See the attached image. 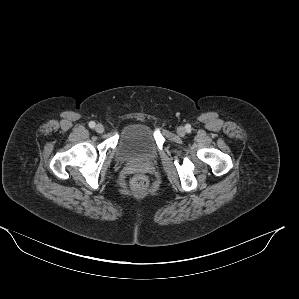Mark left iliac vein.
Here are the masks:
<instances>
[{
	"label": "left iliac vein",
	"instance_id": "1",
	"mask_svg": "<svg viewBox=\"0 0 299 299\" xmlns=\"http://www.w3.org/2000/svg\"><path fill=\"white\" fill-rule=\"evenodd\" d=\"M177 133L178 135L183 136L185 134V129L183 127H179Z\"/></svg>",
	"mask_w": 299,
	"mask_h": 299
}]
</instances>
